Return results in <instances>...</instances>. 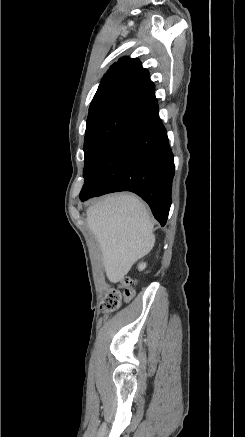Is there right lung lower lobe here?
<instances>
[{"label": "right lung lower lobe", "instance_id": "obj_1", "mask_svg": "<svg viewBox=\"0 0 245 437\" xmlns=\"http://www.w3.org/2000/svg\"><path fill=\"white\" fill-rule=\"evenodd\" d=\"M174 161L158 106L128 125L90 174L80 199L131 191L148 203L163 226L171 206Z\"/></svg>", "mask_w": 245, "mask_h": 437}]
</instances>
